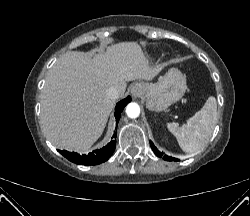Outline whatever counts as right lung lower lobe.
I'll return each instance as SVG.
<instances>
[{"mask_svg": "<svg viewBox=\"0 0 250 216\" xmlns=\"http://www.w3.org/2000/svg\"><path fill=\"white\" fill-rule=\"evenodd\" d=\"M130 101H131V97L128 96L124 100L117 103L116 108H115V114H114L117 122L120 119L121 112L123 111L124 107ZM114 137H116V133L114 134ZM115 146H116V141H111L102 149L94 150L92 153H89L88 155H79L77 153L68 152L65 150L63 151L59 150V152L73 163H77L80 165H96V164H100L108 160L109 157L114 152Z\"/></svg>", "mask_w": 250, "mask_h": 216, "instance_id": "98d812e1", "label": "right lung lower lobe"}]
</instances>
